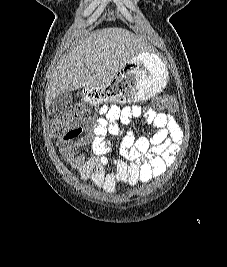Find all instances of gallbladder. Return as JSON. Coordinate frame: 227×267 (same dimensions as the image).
<instances>
[{"label":"gallbladder","mask_w":227,"mask_h":267,"mask_svg":"<svg viewBox=\"0 0 227 267\" xmlns=\"http://www.w3.org/2000/svg\"><path fill=\"white\" fill-rule=\"evenodd\" d=\"M73 103L71 92H64L55 97L50 106L49 112L52 116L57 117L66 112Z\"/></svg>","instance_id":"1"}]
</instances>
